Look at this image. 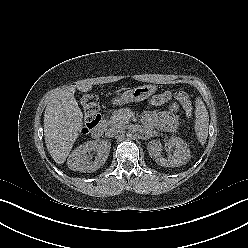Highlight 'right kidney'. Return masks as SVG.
Segmentation results:
<instances>
[{
	"mask_svg": "<svg viewBox=\"0 0 248 248\" xmlns=\"http://www.w3.org/2000/svg\"><path fill=\"white\" fill-rule=\"evenodd\" d=\"M111 144L105 140L87 141L78 146L68 157L67 164L71 170L94 172L106 162ZM95 159H93V154Z\"/></svg>",
	"mask_w": 248,
	"mask_h": 248,
	"instance_id": "right-kidney-1",
	"label": "right kidney"
}]
</instances>
